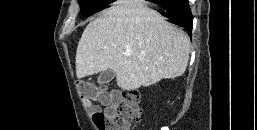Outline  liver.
I'll list each match as a JSON object with an SVG mask.
<instances>
[{
  "mask_svg": "<svg viewBox=\"0 0 257 130\" xmlns=\"http://www.w3.org/2000/svg\"><path fill=\"white\" fill-rule=\"evenodd\" d=\"M189 53L187 34L157 11L139 0L117 1L83 31L76 75L80 79L110 69L121 89L135 90L181 76Z\"/></svg>",
  "mask_w": 257,
  "mask_h": 130,
  "instance_id": "1",
  "label": "liver"
}]
</instances>
